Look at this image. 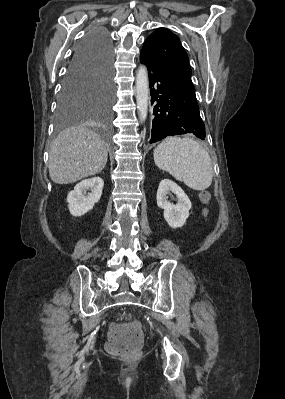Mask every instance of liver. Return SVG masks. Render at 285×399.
I'll return each instance as SVG.
<instances>
[{
    "instance_id": "1",
    "label": "liver",
    "mask_w": 285,
    "mask_h": 399,
    "mask_svg": "<svg viewBox=\"0 0 285 399\" xmlns=\"http://www.w3.org/2000/svg\"><path fill=\"white\" fill-rule=\"evenodd\" d=\"M105 142L94 131L75 126L62 131L49 151V176L57 184L73 183L99 173L106 165Z\"/></svg>"
}]
</instances>
